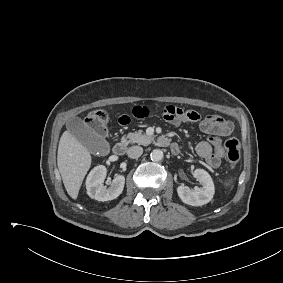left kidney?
<instances>
[{
    "label": "left kidney",
    "instance_id": "left-kidney-1",
    "mask_svg": "<svg viewBox=\"0 0 283 283\" xmlns=\"http://www.w3.org/2000/svg\"><path fill=\"white\" fill-rule=\"evenodd\" d=\"M193 176L201 182V187H196L194 190L180 185L177 188V193L180 199L191 206H201L210 202L215 193V187L213 180L209 173L204 169H196L193 172Z\"/></svg>",
    "mask_w": 283,
    "mask_h": 283
}]
</instances>
